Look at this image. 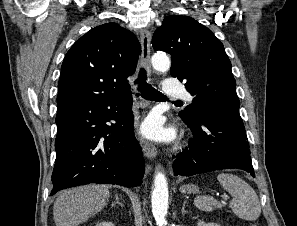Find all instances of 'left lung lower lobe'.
Masks as SVG:
<instances>
[{"label":"left lung lower lobe","instance_id":"1","mask_svg":"<svg viewBox=\"0 0 297 226\" xmlns=\"http://www.w3.org/2000/svg\"><path fill=\"white\" fill-rule=\"evenodd\" d=\"M183 120L192 129L194 137L173 163L176 176L237 168L255 177L240 115L213 112L193 121Z\"/></svg>","mask_w":297,"mask_h":226}]
</instances>
